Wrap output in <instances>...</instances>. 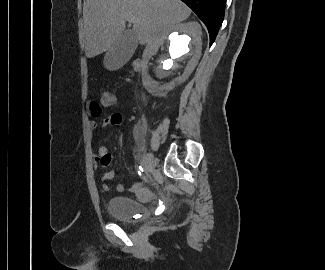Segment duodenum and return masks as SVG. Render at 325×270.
Listing matches in <instances>:
<instances>
[{
	"mask_svg": "<svg viewBox=\"0 0 325 270\" xmlns=\"http://www.w3.org/2000/svg\"><path fill=\"white\" fill-rule=\"evenodd\" d=\"M141 67H142V62L140 60H136L134 62V69L139 71L141 69Z\"/></svg>",
	"mask_w": 325,
	"mask_h": 270,
	"instance_id": "1",
	"label": "duodenum"
}]
</instances>
